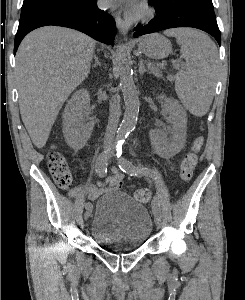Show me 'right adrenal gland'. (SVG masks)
<instances>
[{
  "label": "right adrenal gland",
  "mask_w": 245,
  "mask_h": 300,
  "mask_svg": "<svg viewBox=\"0 0 245 300\" xmlns=\"http://www.w3.org/2000/svg\"><path fill=\"white\" fill-rule=\"evenodd\" d=\"M95 64L92 67H96L97 65L101 66V63L98 60L97 55H94Z\"/></svg>",
  "instance_id": "right-adrenal-gland-1"
}]
</instances>
